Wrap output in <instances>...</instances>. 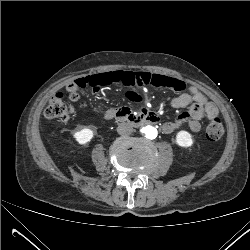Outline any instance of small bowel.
I'll return each instance as SVG.
<instances>
[{
	"label": "small bowel",
	"mask_w": 250,
	"mask_h": 250,
	"mask_svg": "<svg viewBox=\"0 0 250 250\" xmlns=\"http://www.w3.org/2000/svg\"><path fill=\"white\" fill-rule=\"evenodd\" d=\"M164 77L166 80L159 87H168L177 91L184 92L172 100L176 108H186L173 121H167L163 124L162 129L165 133H170L182 124H188L189 128L198 132L201 129L200 121L203 118L213 119L218 115L217 106L211 102L206 94L197 86H187L186 83L178 78L156 74Z\"/></svg>",
	"instance_id": "small-bowel-1"
}]
</instances>
